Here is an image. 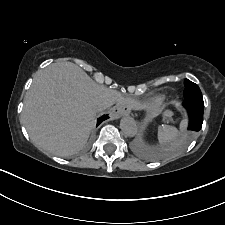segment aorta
Instances as JSON below:
<instances>
[{
	"mask_svg": "<svg viewBox=\"0 0 225 225\" xmlns=\"http://www.w3.org/2000/svg\"><path fill=\"white\" fill-rule=\"evenodd\" d=\"M120 129L122 130L124 135L128 137H134L138 132L135 120L129 116L123 117L120 120Z\"/></svg>",
	"mask_w": 225,
	"mask_h": 225,
	"instance_id": "762f6f07",
	"label": "aorta"
}]
</instances>
